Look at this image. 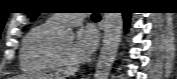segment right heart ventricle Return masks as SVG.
Wrapping results in <instances>:
<instances>
[{"label": "right heart ventricle", "mask_w": 177, "mask_h": 79, "mask_svg": "<svg viewBox=\"0 0 177 79\" xmlns=\"http://www.w3.org/2000/svg\"><path fill=\"white\" fill-rule=\"evenodd\" d=\"M58 31V28L46 21L35 26L27 34L20 54V65L23 71L39 75L57 73L52 53Z\"/></svg>", "instance_id": "right-heart-ventricle-1"}]
</instances>
